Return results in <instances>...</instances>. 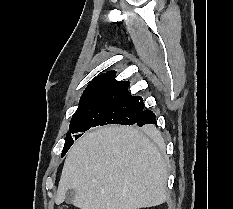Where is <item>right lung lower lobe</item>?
Returning a JSON list of instances; mask_svg holds the SVG:
<instances>
[{"mask_svg": "<svg viewBox=\"0 0 233 209\" xmlns=\"http://www.w3.org/2000/svg\"><path fill=\"white\" fill-rule=\"evenodd\" d=\"M138 126L142 127H148L153 128V124H156L155 115L150 110H143L137 121L135 122Z\"/></svg>", "mask_w": 233, "mask_h": 209, "instance_id": "98d812e1", "label": "right lung lower lobe"}]
</instances>
